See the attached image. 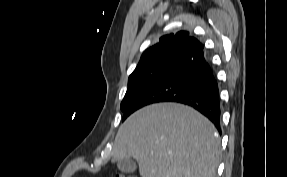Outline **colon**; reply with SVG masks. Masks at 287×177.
<instances>
[{
	"instance_id": "colon-1",
	"label": "colon",
	"mask_w": 287,
	"mask_h": 177,
	"mask_svg": "<svg viewBox=\"0 0 287 177\" xmlns=\"http://www.w3.org/2000/svg\"><path fill=\"white\" fill-rule=\"evenodd\" d=\"M115 177H135V176H126L124 174H117V175H115Z\"/></svg>"
}]
</instances>
